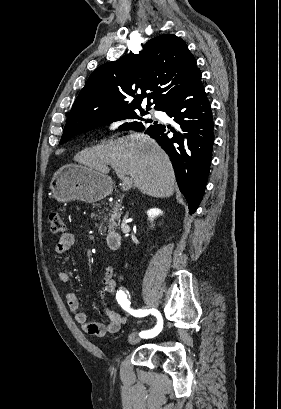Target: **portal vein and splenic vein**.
Returning a JSON list of instances; mask_svg holds the SVG:
<instances>
[{"label": "portal vein and splenic vein", "instance_id": "obj_1", "mask_svg": "<svg viewBox=\"0 0 281 409\" xmlns=\"http://www.w3.org/2000/svg\"><path fill=\"white\" fill-rule=\"evenodd\" d=\"M117 170V176L121 178L122 184H123V190L129 191L134 187V182L132 181V178H129V176H126L124 170H120V168H116Z\"/></svg>", "mask_w": 281, "mask_h": 409}]
</instances>
